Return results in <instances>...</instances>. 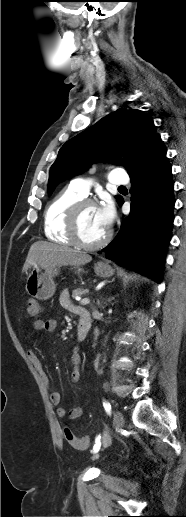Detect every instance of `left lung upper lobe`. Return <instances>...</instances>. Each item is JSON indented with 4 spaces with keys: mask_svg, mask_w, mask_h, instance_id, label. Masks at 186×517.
<instances>
[{
    "mask_svg": "<svg viewBox=\"0 0 186 517\" xmlns=\"http://www.w3.org/2000/svg\"><path fill=\"white\" fill-rule=\"evenodd\" d=\"M159 140L160 136L149 115L139 110L121 108L61 147L50 168L48 195L61 181L82 173L90 163L105 154L124 155L136 167ZM120 164L126 165L127 162ZM132 170H128V173Z\"/></svg>",
    "mask_w": 186,
    "mask_h": 517,
    "instance_id": "left-lung-upper-lobe-1",
    "label": "left lung upper lobe"
}]
</instances>
